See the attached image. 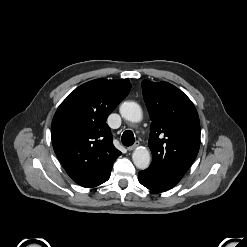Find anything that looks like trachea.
<instances>
[{"label": "trachea", "mask_w": 247, "mask_h": 247, "mask_svg": "<svg viewBox=\"0 0 247 247\" xmlns=\"http://www.w3.org/2000/svg\"><path fill=\"white\" fill-rule=\"evenodd\" d=\"M122 144L124 146H131L133 145L135 138L134 134L131 130H126L124 131L122 138H121Z\"/></svg>", "instance_id": "3493384b"}]
</instances>
